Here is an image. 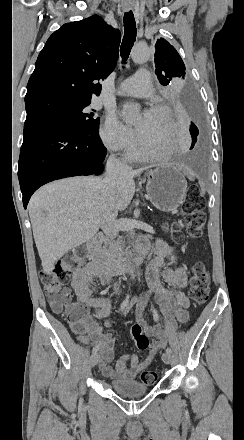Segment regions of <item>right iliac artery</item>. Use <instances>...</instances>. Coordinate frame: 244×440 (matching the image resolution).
Instances as JSON below:
<instances>
[{
	"instance_id": "1",
	"label": "right iliac artery",
	"mask_w": 244,
	"mask_h": 440,
	"mask_svg": "<svg viewBox=\"0 0 244 440\" xmlns=\"http://www.w3.org/2000/svg\"><path fill=\"white\" fill-rule=\"evenodd\" d=\"M130 299V294H127L125 300L122 302L120 306V310H123L125 307H127ZM99 350V346H95L92 350L93 353H96Z\"/></svg>"
}]
</instances>
